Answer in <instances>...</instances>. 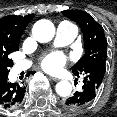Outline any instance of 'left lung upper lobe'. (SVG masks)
I'll return each instance as SVG.
<instances>
[{
    "instance_id": "obj_1",
    "label": "left lung upper lobe",
    "mask_w": 117,
    "mask_h": 117,
    "mask_svg": "<svg viewBox=\"0 0 117 117\" xmlns=\"http://www.w3.org/2000/svg\"><path fill=\"white\" fill-rule=\"evenodd\" d=\"M67 18L78 23L83 32L85 55L72 67V72L84 75L99 90L106 72L107 40L104 29L90 14L82 10L62 11Z\"/></svg>"
}]
</instances>
